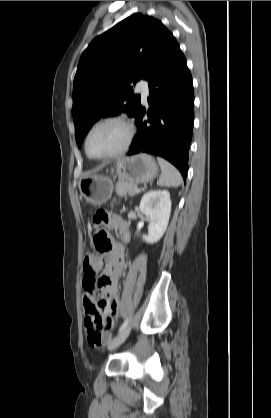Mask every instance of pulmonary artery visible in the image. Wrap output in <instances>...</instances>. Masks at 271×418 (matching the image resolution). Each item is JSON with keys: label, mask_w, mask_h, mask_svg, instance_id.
<instances>
[{"label": "pulmonary artery", "mask_w": 271, "mask_h": 418, "mask_svg": "<svg viewBox=\"0 0 271 418\" xmlns=\"http://www.w3.org/2000/svg\"><path fill=\"white\" fill-rule=\"evenodd\" d=\"M137 90L141 93L143 100L149 97V86L146 80H141L137 85Z\"/></svg>", "instance_id": "1"}]
</instances>
